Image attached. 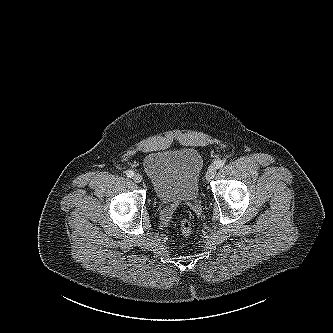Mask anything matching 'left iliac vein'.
<instances>
[{
  "instance_id": "4c4485c4",
  "label": "left iliac vein",
  "mask_w": 333,
  "mask_h": 333,
  "mask_svg": "<svg viewBox=\"0 0 333 333\" xmlns=\"http://www.w3.org/2000/svg\"><path fill=\"white\" fill-rule=\"evenodd\" d=\"M217 168L215 166H210L207 173H206V179L208 181L212 180L216 174Z\"/></svg>"
}]
</instances>
